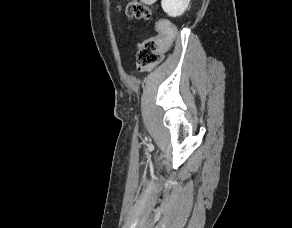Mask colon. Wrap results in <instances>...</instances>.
I'll return each mask as SVG.
<instances>
[{
    "mask_svg": "<svg viewBox=\"0 0 292 228\" xmlns=\"http://www.w3.org/2000/svg\"><path fill=\"white\" fill-rule=\"evenodd\" d=\"M126 14L131 18L149 19L150 9L139 3L130 2L126 6ZM175 31L170 24L158 23L157 35L147 38L137 44L135 49L136 64L140 71H149L162 60L163 52L171 44Z\"/></svg>",
    "mask_w": 292,
    "mask_h": 228,
    "instance_id": "colon-1",
    "label": "colon"
}]
</instances>
